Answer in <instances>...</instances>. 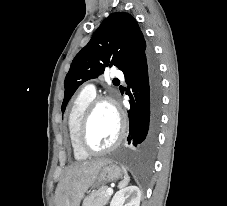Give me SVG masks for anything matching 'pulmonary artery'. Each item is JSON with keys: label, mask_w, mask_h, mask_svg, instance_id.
Returning <instances> with one entry per match:
<instances>
[{"label": "pulmonary artery", "mask_w": 227, "mask_h": 206, "mask_svg": "<svg viewBox=\"0 0 227 206\" xmlns=\"http://www.w3.org/2000/svg\"><path fill=\"white\" fill-rule=\"evenodd\" d=\"M112 76L117 78H123V73L120 70H114ZM84 90L95 93V86L93 84H87Z\"/></svg>", "instance_id": "1"}]
</instances>
